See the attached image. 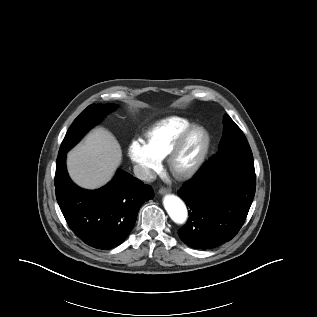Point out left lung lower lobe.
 <instances>
[{
	"label": "left lung lower lobe",
	"mask_w": 317,
	"mask_h": 317,
	"mask_svg": "<svg viewBox=\"0 0 317 317\" xmlns=\"http://www.w3.org/2000/svg\"><path fill=\"white\" fill-rule=\"evenodd\" d=\"M255 189L253 159L214 155L178 191L192 210L179 237L195 249L230 241L245 222Z\"/></svg>",
	"instance_id": "0a47b994"
}]
</instances>
